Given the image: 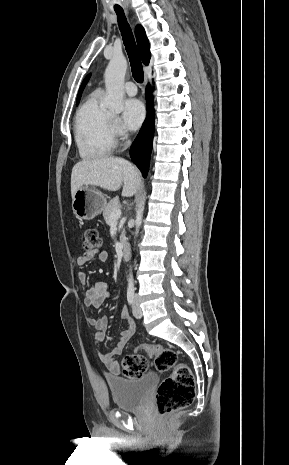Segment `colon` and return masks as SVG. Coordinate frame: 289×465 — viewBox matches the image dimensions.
<instances>
[{"label":"colon","mask_w":289,"mask_h":465,"mask_svg":"<svg viewBox=\"0 0 289 465\" xmlns=\"http://www.w3.org/2000/svg\"><path fill=\"white\" fill-rule=\"evenodd\" d=\"M82 247L86 252L96 251L101 247L98 231L91 226L82 230ZM144 350L155 358L156 369L160 372L171 371L158 386L155 405L159 414L165 415L189 406L195 396V381L191 369L178 361L177 353L160 345L142 344L137 350L124 357L122 372L129 378H138L147 371V360L138 351Z\"/></svg>","instance_id":"1"}]
</instances>
